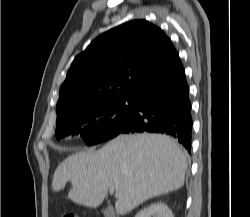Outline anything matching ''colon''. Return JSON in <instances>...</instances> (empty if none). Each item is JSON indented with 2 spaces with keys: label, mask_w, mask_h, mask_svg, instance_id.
Listing matches in <instances>:
<instances>
[{
  "label": "colon",
  "mask_w": 250,
  "mask_h": 217,
  "mask_svg": "<svg viewBox=\"0 0 250 217\" xmlns=\"http://www.w3.org/2000/svg\"><path fill=\"white\" fill-rule=\"evenodd\" d=\"M63 217H76V216L72 213H67Z\"/></svg>",
  "instance_id": "5ec220e1"
}]
</instances>
